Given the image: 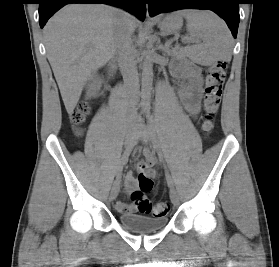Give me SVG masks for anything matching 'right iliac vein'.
Wrapping results in <instances>:
<instances>
[{"label":"right iliac vein","instance_id":"63e3f726","mask_svg":"<svg viewBox=\"0 0 279 267\" xmlns=\"http://www.w3.org/2000/svg\"><path fill=\"white\" fill-rule=\"evenodd\" d=\"M136 133V129L133 126H128L126 130V135H125V145L127 146L132 142L134 139V135ZM119 192V180H116L113 183V186L110 191V200H115Z\"/></svg>","mask_w":279,"mask_h":267}]
</instances>
